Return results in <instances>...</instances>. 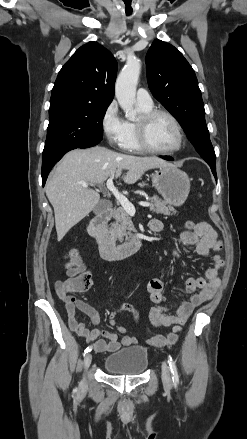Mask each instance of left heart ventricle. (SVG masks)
Instances as JSON below:
<instances>
[{"mask_svg":"<svg viewBox=\"0 0 247 439\" xmlns=\"http://www.w3.org/2000/svg\"><path fill=\"white\" fill-rule=\"evenodd\" d=\"M148 140L156 149L168 150L175 147L178 134L172 121L163 115L156 116L148 127Z\"/></svg>","mask_w":247,"mask_h":439,"instance_id":"left-heart-ventricle-1","label":"left heart ventricle"}]
</instances>
